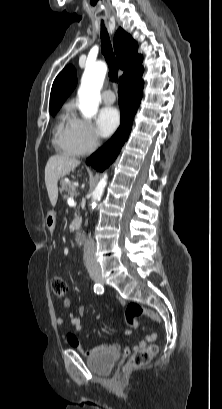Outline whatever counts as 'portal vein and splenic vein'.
I'll list each match as a JSON object with an SVG mask.
<instances>
[{
	"mask_svg": "<svg viewBox=\"0 0 222 409\" xmlns=\"http://www.w3.org/2000/svg\"><path fill=\"white\" fill-rule=\"evenodd\" d=\"M68 203H69L70 205H75V202H74L73 199H70V200L68 201Z\"/></svg>",
	"mask_w": 222,
	"mask_h": 409,
	"instance_id": "18ae733b",
	"label": "portal vein and splenic vein"
}]
</instances>
